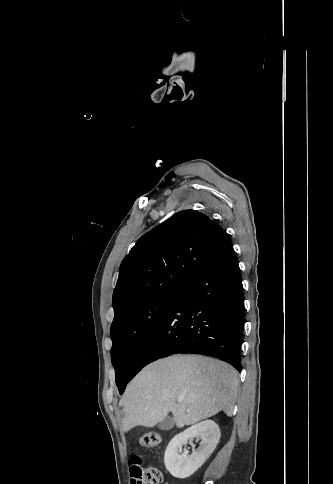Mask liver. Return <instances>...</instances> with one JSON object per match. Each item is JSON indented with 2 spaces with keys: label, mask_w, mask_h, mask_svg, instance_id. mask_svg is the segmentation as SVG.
Masks as SVG:
<instances>
[{
  "label": "liver",
  "mask_w": 333,
  "mask_h": 484,
  "mask_svg": "<svg viewBox=\"0 0 333 484\" xmlns=\"http://www.w3.org/2000/svg\"><path fill=\"white\" fill-rule=\"evenodd\" d=\"M237 390V371L220 360L191 355L157 360L136 375L119 401L123 430L154 427L169 412L179 428L221 410L231 417Z\"/></svg>",
  "instance_id": "6515ba94"
}]
</instances>
